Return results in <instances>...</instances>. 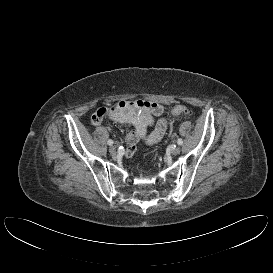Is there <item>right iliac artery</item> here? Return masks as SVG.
Instances as JSON below:
<instances>
[{"instance_id":"82829eb1","label":"right iliac artery","mask_w":273,"mask_h":273,"mask_svg":"<svg viewBox=\"0 0 273 273\" xmlns=\"http://www.w3.org/2000/svg\"><path fill=\"white\" fill-rule=\"evenodd\" d=\"M108 145H113V141L110 139V140H108Z\"/></svg>"}]
</instances>
